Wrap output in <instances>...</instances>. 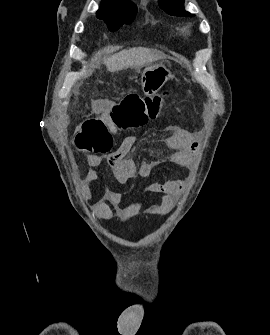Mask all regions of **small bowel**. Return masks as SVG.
I'll list each match as a JSON object with an SVG mask.
<instances>
[{
    "label": "small bowel",
    "instance_id": "small-bowel-1",
    "mask_svg": "<svg viewBox=\"0 0 270 335\" xmlns=\"http://www.w3.org/2000/svg\"><path fill=\"white\" fill-rule=\"evenodd\" d=\"M98 108H108L110 101L100 100L96 103ZM135 138L132 135L125 136L120 146L112 153L101 155H90L86 160L87 169L83 178L84 194H88L89 186L98 179L96 168L107 161L117 182L125 184L139 177H148L158 165L169 162L181 166H190L194 163V157L198 148L195 136L179 125L169 126V135L164 143L169 153L162 157L143 161L137 168L134 160L128 157ZM186 182L181 179H167L162 182H151L146 190L160 195L157 202L149 209L152 215H165L174 207L175 203L183 193ZM123 194L121 192L106 188L103 199L92 206L93 213L102 220H109L114 214L126 219L138 210L142 203L136 201L127 206H122Z\"/></svg>",
    "mask_w": 270,
    "mask_h": 335
}]
</instances>
